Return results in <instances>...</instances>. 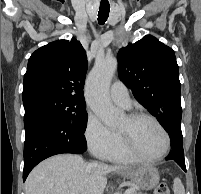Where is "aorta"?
<instances>
[{
	"label": "aorta",
	"instance_id": "762f6f07",
	"mask_svg": "<svg viewBox=\"0 0 201 194\" xmlns=\"http://www.w3.org/2000/svg\"><path fill=\"white\" fill-rule=\"evenodd\" d=\"M115 57L97 59L86 83L87 102L91 110L111 128L119 125L123 112L114 108L109 98V86L117 70Z\"/></svg>",
	"mask_w": 201,
	"mask_h": 194
}]
</instances>
